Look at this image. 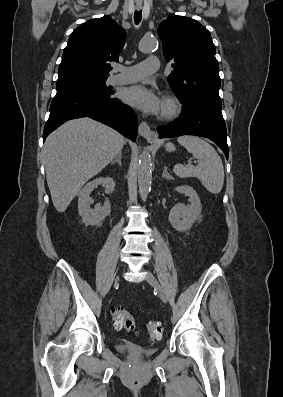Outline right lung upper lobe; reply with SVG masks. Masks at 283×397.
<instances>
[{"mask_svg":"<svg viewBox=\"0 0 283 397\" xmlns=\"http://www.w3.org/2000/svg\"><path fill=\"white\" fill-rule=\"evenodd\" d=\"M126 31L109 16L82 23L70 35L58 70V80L108 77L110 62H118Z\"/></svg>","mask_w":283,"mask_h":397,"instance_id":"obj_1","label":"right lung upper lobe"}]
</instances>
